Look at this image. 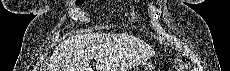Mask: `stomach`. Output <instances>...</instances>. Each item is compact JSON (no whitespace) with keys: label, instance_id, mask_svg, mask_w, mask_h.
Returning a JSON list of instances; mask_svg holds the SVG:
<instances>
[{"label":"stomach","instance_id":"stomach-1","mask_svg":"<svg viewBox=\"0 0 230 71\" xmlns=\"http://www.w3.org/2000/svg\"><path fill=\"white\" fill-rule=\"evenodd\" d=\"M150 67H151V66H144L145 71L150 70V69H151ZM140 69H142V67L137 68V70H136V71H141Z\"/></svg>","mask_w":230,"mask_h":71}]
</instances>
